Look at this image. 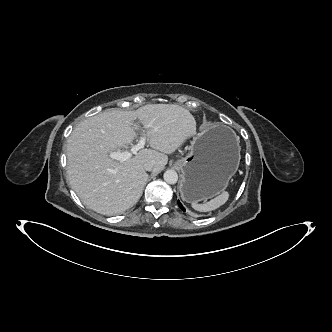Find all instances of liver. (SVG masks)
Returning a JSON list of instances; mask_svg holds the SVG:
<instances>
[{"label":"liver","mask_w":332,"mask_h":332,"mask_svg":"<svg viewBox=\"0 0 332 332\" xmlns=\"http://www.w3.org/2000/svg\"><path fill=\"white\" fill-rule=\"evenodd\" d=\"M146 126L148 145L126 161L109 157L129 148L135 137L133 122ZM196 121L176 104H148L136 111L112 110L78 124L67 141V174L81 201L101 214L123 213L141 197L148 174L146 162L159 173L175 152L195 135Z\"/></svg>","instance_id":"obj_1"}]
</instances>
